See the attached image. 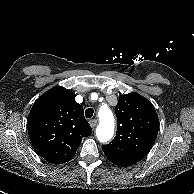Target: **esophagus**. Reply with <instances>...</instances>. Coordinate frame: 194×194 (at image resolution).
<instances>
[{"label": "esophagus", "instance_id": "obj_1", "mask_svg": "<svg viewBox=\"0 0 194 194\" xmlns=\"http://www.w3.org/2000/svg\"><path fill=\"white\" fill-rule=\"evenodd\" d=\"M92 128H95L98 124V121L96 119H92L89 121Z\"/></svg>", "mask_w": 194, "mask_h": 194}]
</instances>
